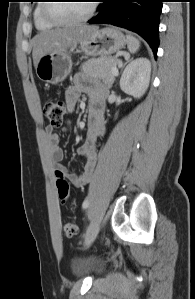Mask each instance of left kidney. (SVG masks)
Here are the masks:
<instances>
[{"mask_svg": "<svg viewBox=\"0 0 195 299\" xmlns=\"http://www.w3.org/2000/svg\"><path fill=\"white\" fill-rule=\"evenodd\" d=\"M151 63L147 58H137L124 69L120 88L134 98L142 97L149 86Z\"/></svg>", "mask_w": 195, "mask_h": 299, "instance_id": "1", "label": "left kidney"}]
</instances>
